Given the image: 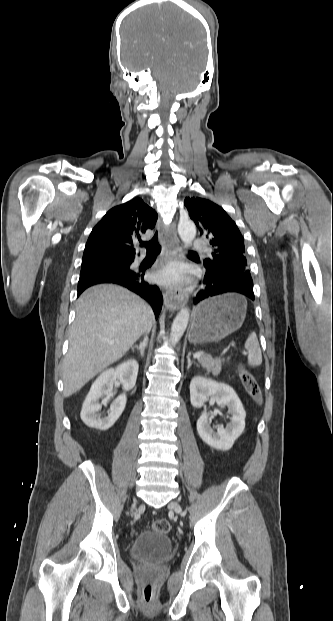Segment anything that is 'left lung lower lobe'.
<instances>
[{"label":"left lung lower lobe","instance_id":"1","mask_svg":"<svg viewBox=\"0 0 333 621\" xmlns=\"http://www.w3.org/2000/svg\"><path fill=\"white\" fill-rule=\"evenodd\" d=\"M202 286L194 298L195 304L226 292L241 293L254 300L253 281L248 273L222 272L221 270L214 272L206 269Z\"/></svg>","mask_w":333,"mask_h":621}]
</instances>
